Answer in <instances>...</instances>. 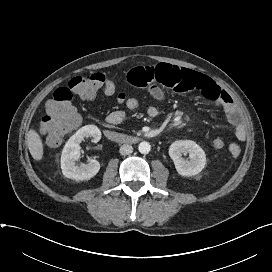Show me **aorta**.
<instances>
[{
  "mask_svg": "<svg viewBox=\"0 0 272 272\" xmlns=\"http://www.w3.org/2000/svg\"><path fill=\"white\" fill-rule=\"evenodd\" d=\"M138 150L142 154H148L151 150V145L148 142L143 141L139 144Z\"/></svg>",
  "mask_w": 272,
  "mask_h": 272,
  "instance_id": "aorta-1",
  "label": "aorta"
}]
</instances>
